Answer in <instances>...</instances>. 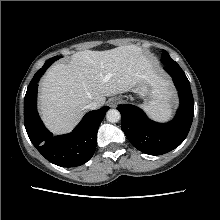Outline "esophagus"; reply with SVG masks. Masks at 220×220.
Segmentation results:
<instances>
[{
  "instance_id": "34e87169",
  "label": "esophagus",
  "mask_w": 220,
  "mask_h": 220,
  "mask_svg": "<svg viewBox=\"0 0 220 220\" xmlns=\"http://www.w3.org/2000/svg\"><path fill=\"white\" fill-rule=\"evenodd\" d=\"M119 102H120V99L115 97V98L110 99L108 103L111 107H115Z\"/></svg>"
}]
</instances>
